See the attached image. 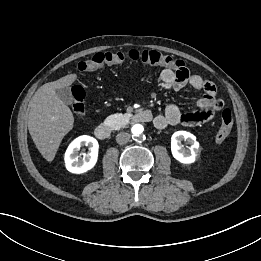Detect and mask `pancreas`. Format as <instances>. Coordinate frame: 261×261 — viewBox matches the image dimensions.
I'll return each instance as SVG.
<instances>
[{"label":"pancreas","instance_id":"pancreas-1","mask_svg":"<svg viewBox=\"0 0 261 261\" xmlns=\"http://www.w3.org/2000/svg\"><path fill=\"white\" fill-rule=\"evenodd\" d=\"M129 119L128 114L117 113L111 114L105 121L112 129L119 130L128 124Z\"/></svg>","mask_w":261,"mask_h":261}]
</instances>
